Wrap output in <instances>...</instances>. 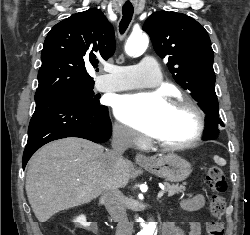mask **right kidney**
<instances>
[{"label": "right kidney", "mask_w": 250, "mask_h": 235, "mask_svg": "<svg viewBox=\"0 0 250 235\" xmlns=\"http://www.w3.org/2000/svg\"><path fill=\"white\" fill-rule=\"evenodd\" d=\"M74 222L79 223L80 225L84 227L90 226V223L86 221V217L84 215H80L77 218H75Z\"/></svg>", "instance_id": "right-kidney-1"}]
</instances>
